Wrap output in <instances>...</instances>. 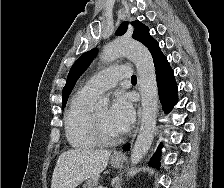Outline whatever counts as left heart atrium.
<instances>
[{
    "label": "left heart atrium",
    "mask_w": 224,
    "mask_h": 188,
    "mask_svg": "<svg viewBox=\"0 0 224 188\" xmlns=\"http://www.w3.org/2000/svg\"><path fill=\"white\" fill-rule=\"evenodd\" d=\"M134 109L125 94H118L109 110V119L112 126L120 134L125 132L134 120Z\"/></svg>",
    "instance_id": "obj_1"
}]
</instances>
